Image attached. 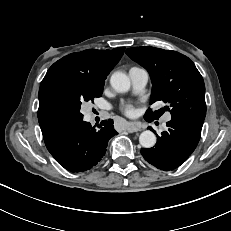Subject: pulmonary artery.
I'll return each instance as SVG.
<instances>
[{"mask_svg": "<svg viewBox=\"0 0 231 231\" xmlns=\"http://www.w3.org/2000/svg\"><path fill=\"white\" fill-rule=\"evenodd\" d=\"M129 76L132 82L133 89L136 93H140L144 90L149 80V74L146 69L141 67H132L129 70ZM171 119L169 113L165 114L163 117L164 124Z\"/></svg>", "mask_w": 231, "mask_h": 231, "instance_id": "obj_1", "label": "pulmonary artery"}]
</instances>
